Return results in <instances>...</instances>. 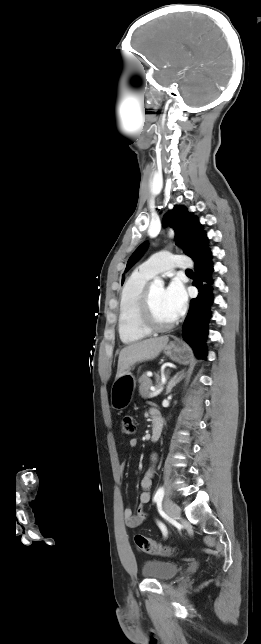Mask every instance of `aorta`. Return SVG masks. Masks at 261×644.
<instances>
[{"instance_id": "1", "label": "aorta", "mask_w": 261, "mask_h": 644, "mask_svg": "<svg viewBox=\"0 0 261 644\" xmlns=\"http://www.w3.org/2000/svg\"><path fill=\"white\" fill-rule=\"evenodd\" d=\"M152 285H153V286H163V285H164V282H163V280H161L160 278H155V279H154V281H153V283H152Z\"/></svg>"}]
</instances>
